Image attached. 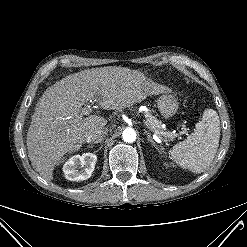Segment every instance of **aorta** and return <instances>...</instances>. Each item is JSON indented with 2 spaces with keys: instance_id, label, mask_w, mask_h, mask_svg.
<instances>
[{
  "instance_id": "1",
  "label": "aorta",
  "mask_w": 247,
  "mask_h": 247,
  "mask_svg": "<svg viewBox=\"0 0 247 247\" xmlns=\"http://www.w3.org/2000/svg\"><path fill=\"white\" fill-rule=\"evenodd\" d=\"M122 138L127 143H133L136 140V132L133 128H126L122 133Z\"/></svg>"
}]
</instances>
